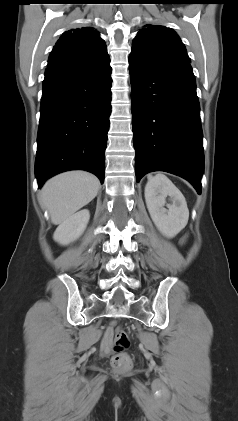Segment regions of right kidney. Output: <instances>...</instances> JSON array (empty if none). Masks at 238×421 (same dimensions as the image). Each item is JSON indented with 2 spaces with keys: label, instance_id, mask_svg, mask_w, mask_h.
I'll return each mask as SVG.
<instances>
[{
  "label": "right kidney",
  "instance_id": "obj_1",
  "mask_svg": "<svg viewBox=\"0 0 238 421\" xmlns=\"http://www.w3.org/2000/svg\"><path fill=\"white\" fill-rule=\"evenodd\" d=\"M89 219L90 213L87 209L73 214L57 227L53 239L61 245H68L83 234Z\"/></svg>",
  "mask_w": 238,
  "mask_h": 421
}]
</instances>
